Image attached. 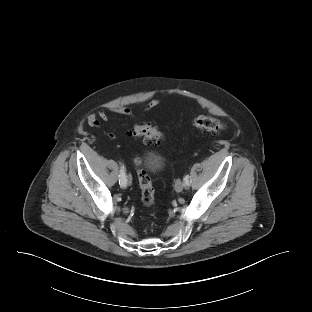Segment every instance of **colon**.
Listing matches in <instances>:
<instances>
[{
  "instance_id": "1",
  "label": "colon",
  "mask_w": 312,
  "mask_h": 312,
  "mask_svg": "<svg viewBox=\"0 0 312 312\" xmlns=\"http://www.w3.org/2000/svg\"><path fill=\"white\" fill-rule=\"evenodd\" d=\"M193 126L201 131L219 133L226 129V124L222 120L212 116H201L193 121ZM131 134L136 137H141L147 143H155L163 138V133L155 127L148 124H136ZM137 167L138 182L141 189V200L145 206H153L155 203L154 188L151 179L147 172L141 168L140 159L134 160Z\"/></svg>"
}]
</instances>
